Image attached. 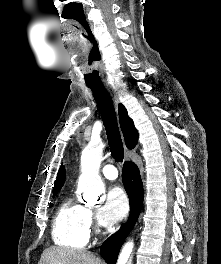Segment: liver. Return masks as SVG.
I'll list each match as a JSON object with an SVG mask.
<instances>
[{
  "mask_svg": "<svg viewBox=\"0 0 221 264\" xmlns=\"http://www.w3.org/2000/svg\"><path fill=\"white\" fill-rule=\"evenodd\" d=\"M38 264H104L94 254L86 250L63 247L45 249Z\"/></svg>",
  "mask_w": 221,
  "mask_h": 264,
  "instance_id": "1",
  "label": "liver"
}]
</instances>
